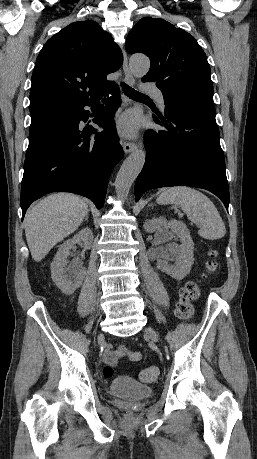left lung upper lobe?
I'll use <instances>...</instances> for the list:
<instances>
[{
  "instance_id": "left-lung-upper-lobe-1",
  "label": "left lung upper lobe",
  "mask_w": 257,
  "mask_h": 459,
  "mask_svg": "<svg viewBox=\"0 0 257 459\" xmlns=\"http://www.w3.org/2000/svg\"><path fill=\"white\" fill-rule=\"evenodd\" d=\"M128 53H144L151 66L143 81H156L164 96H213L206 55L189 33L163 19L142 18L126 39Z\"/></svg>"
}]
</instances>
